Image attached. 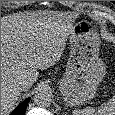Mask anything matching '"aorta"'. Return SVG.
<instances>
[{
  "instance_id": "762f6f07",
  "label": "aorta",
  "mask_w": 115,
  "mask_h": 115,
  "mask_svg": "<svg viewBox=\"0 0 115 115\" xmlns=\"http://www.w3.org/2000/svg\"><path fill=\"white\" fill-rule=\"evenodd\" d=\"M34 102L38 106H50L52 98L48 90L40 89L34 96Z\"/></svg>"
}]
</instances>
